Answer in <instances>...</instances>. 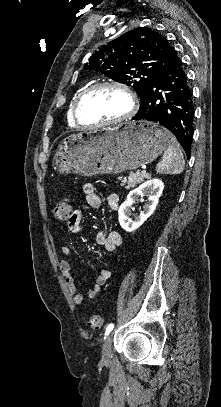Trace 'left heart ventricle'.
Segmentation results:
<instances>
[{"label": "left heart ventricle", "instance_id": "obj_1", "mask_svg": "<svg viewBox=\"0 0 221 407\" xmlns=\"http://www.w3.org/2000/svg\"><path fill=\"white\" fill-rule=\"evenodd\" d=\"M130 109L126 93L117 88H104L93 93L81 106L84 123L105 122L125 115Z\"/></svg>", "mask_w": 221, "mask_h": 407}]
</instances>
